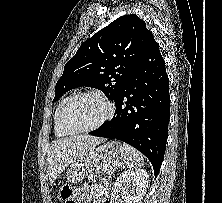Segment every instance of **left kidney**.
Here are the masks:
<instances>
[{"instance_id": "obj_1", "label": "left kidney", "mask_w": 222, "mask_h": 203, "mask_svg": "<svg viewBox=\"0 0 222 203\" xmlns=\"http://www.w3.org/2000/svg\"><path fill=\"white\" fill-rule=\"evenodd\" d=\"M148 173L143 169H129L116 179L110 203H141L148 188Z\"/></svg>"}]
</instances>
